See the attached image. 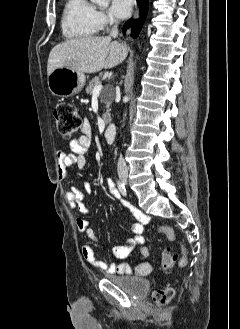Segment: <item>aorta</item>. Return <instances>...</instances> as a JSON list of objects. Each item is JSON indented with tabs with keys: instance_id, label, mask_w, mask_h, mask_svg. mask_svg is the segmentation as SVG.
Segmentation results:
<instances>
[{
	"instance_id": "1",
	"label": "aorta",
	"mask_w": 240,
	"mask_h": 329,
	"mask_svg": "<svg viewBox=\"0 0 240 329\" xmlns=\"http://www.w3.org/2000/svg\"><path fill=\"white\" fill-rule=\"evenodd\" d=\"M93 3H96L102 7H107L109 5L110 0H91Z\"/></svg>"
}]
</instances>
